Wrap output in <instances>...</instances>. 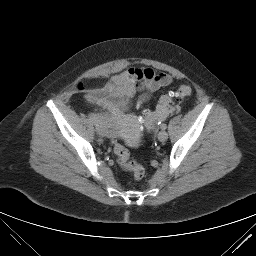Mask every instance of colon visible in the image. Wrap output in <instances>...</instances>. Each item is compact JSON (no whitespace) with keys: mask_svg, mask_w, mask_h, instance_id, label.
Listing matches in <instances>:
<instances>
[{"mask_svg":"<svg viewBox=\"0 0 256 256\" xmlns=\"http://www.w3.org/2000/svg\"><path fill=\"white\" fill-rule=\"evenodd\" d=\"M192 94V88L189 85H180L176 90L170 91L161 96L158 100V108H174L177 100L188 97ZM151 113L147 112L142 119L149 123ZM114 153L117 157L118 165L125 171L131 172L135 181H140L145 175L142 165L130 159L128 150L120 143H114Z\"/></svg>","mask_w":256,"mask_h":256,"instance_id":"obj_1","label":"colon"}]
</instances>
